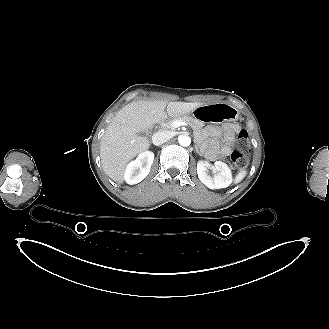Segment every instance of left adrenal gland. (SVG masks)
I'll return each instance as SVG.
<instances>
[{"mask_svg": "<svg viewBox=\"0 0 329 329\" xmlns=\"http://www.w3.org/2000/svg\"><path fill=\"white\" fill-rule=\"evenodd\" d=\"M195 149H196V152H197L199 155H201V153H200V151L198 150V147H197V146H195Z\"/></svg>", "mask_w": 329, "mask_h": 329, "instance_id": "left-adrenal-gland-1", "label": "left adrenal gland"}]
</instances>
